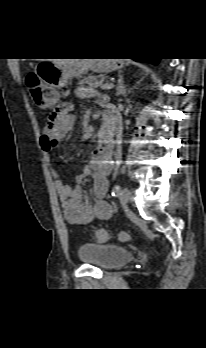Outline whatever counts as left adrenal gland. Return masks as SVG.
I'll return each instance as SVG.
<instances>
[{"label":"left adrenal gland","mask_w":206,"mask_h":348,"mask_svg":"<svg viewBox=\"0 0 206 348\" xmlns=\"http://www.w3.org/2000/svg\"><path fill=\"white\" fill-rule=\"evenodd\" d=\"M126 92L123 77L118 80L117 95H124Z\"/></svg>","instance_id":"1"}]
</instances>
